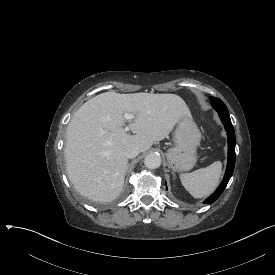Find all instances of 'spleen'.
Here are the masks:
<instances>
[{
  "instance_id": "3e777b00",
  "label": "spleen",
  "mask_w": 275,
  "mask_h": 275,
  "mask_svg": "<svg viewBox=\"0 0 275 275\" xmlns=\"http://www.w3.org/2000/svg\"><path fill=\"white\" fill-rule=\"evenodd\" d=\"M221 172L222 163L216 161L206 168L181 174L180 179L182 185L194 198H202L215 191L219 185Z\"/></svg>"
}]
</instances>
